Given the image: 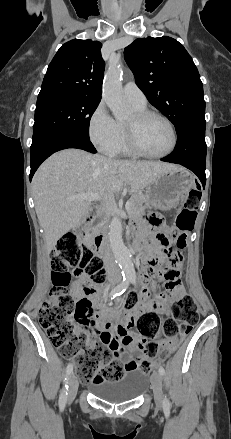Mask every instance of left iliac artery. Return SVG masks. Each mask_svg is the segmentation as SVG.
Listing matches in <instances>:
<instances>
[{"mask_svg": "<svg viewBox=\"0 0 231 439\" xmlns=\"http://www.w3.org/2000/svg\"><path fill=\"white\" fill-rule=\"evenodd\" d=\"M132 284H136V279L132 278L131 279ZM159 374L161 376H165V370L163 367H159ZM163 406L165 409H169L170 408V402L169 400L165 397L164 401H163Z\"/></svg>", "mask_w": 231, "mask_h": 439, "instance_id": "left-iliac-artery-1", "label": "left iliac artery"}]
</instances>
